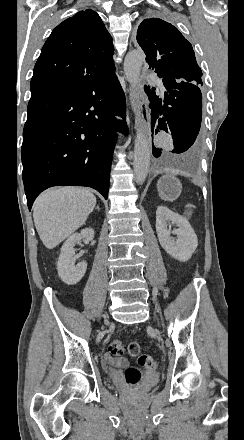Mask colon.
<instances>
[{"instance_id":"colon-1","label":"colon","mask_w":244,"mask_h":440,"mask_svg":"<svg viewBox=\"0 0 244 440\" xmlns=\"http://www.w3.org/2000/svg\"><path fill=\"white\" fill-rule=\"evenodd\" d=\"M125 351V344L122 340H114L109 344V352L113 356H121ZM127 352L132 357H138V364L145 367L147 370H153L156 367L155 357L150 354H141V345L139 343H129L127 346ZM127 383H136L140 375L136 371L135 366L130 365L127 368L126 373Z\"/></svg>"}]
</instances>
